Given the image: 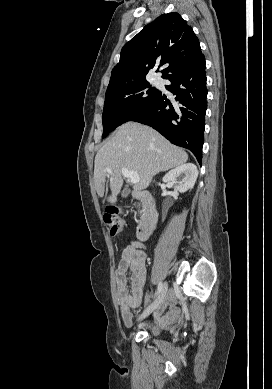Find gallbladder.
<instances>
[{"mask_svg":"<svg viewBox=\"0 0 272 389\" xmlns=\"http://www.w3.org/2000/svg\"><path fill=\"white\" fill-rule=\"evenodd\" d=\"M130 193V190L129 189H124L123 192H122V197L126 198Z\"/></svg>","mask_w":272,"mask_h":389,"instance_id":"bac80fb5","label":"gallbladder"}]
</instances>
